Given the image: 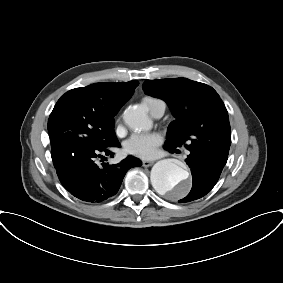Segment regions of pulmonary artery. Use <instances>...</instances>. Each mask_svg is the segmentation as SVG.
Segmentation results:
<instances>
[{
  "label": "pulmonary artery",
  "instance_id": "1",
  "mask_svg": "<svg viewBox=\"0 0 283 283\" xmlns=\"http://www.w3.org/2000/svg\"><path fill=\"white\" fill-rule=\"evenodd\" d=\"M165 108V103L163 101H159L152 107L150 111L153 117L160 118L164 114Z\"/></svg>",
  "mask_w": 283,
  "mask_h": 283
}]
</instances>
